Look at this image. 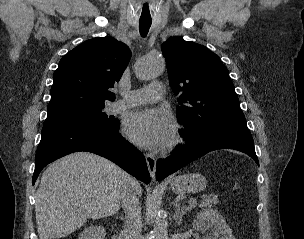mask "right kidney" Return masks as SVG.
I'll return each instance as SVG.
<instances>
[{"label":"right kidney","instance_id":"right-kidney-1","mask_svg":"<svg viewBox=\"0 0 304 239\" xmlns=\"http://www.w3.org/2000/svg\"><path fill=\"white\" fill-rule=\"evenodd\" d=\"M105 236L104 228L100 226H90L85 228L78 239H103Z\"/></svg>","mask_w":304,"mask_h":239}]
</instances>
